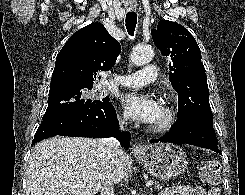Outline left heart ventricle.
<instances>
[{"instance_id": "b2bd125f", "label": "left heart ventricle", "mask_w": 245, "mask_h": 195, "mask_svg": "<svg viewBox=\"0 0 245 195\" xmlns=\"http://www.w3.org/2000/svg\"><path fill=\"white\" fill-rule=\"evenodd\" d=\"M163 117H164V112H163V109L161 108L160 113H159L157 119L154 121L153 124L159 123L163 119Z\"/></svg>"}]
</instances>
